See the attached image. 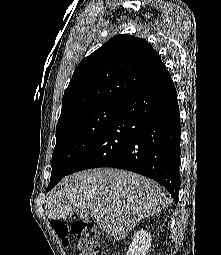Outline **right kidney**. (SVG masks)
I'll list each match as a JSON object with an SVG mask.
<instances>
[{
  "mask_svg": "<svg viewBox=\"0 0 221 255\" xmlns=\"http://www.w3.org/2000/svg\"><path fill=\"white\" fill-rule=\"evenodd\" d=\"M151 246V234L146 230L137 231L132 237V242L126 255H146Z\"/></svg>",
  "mask_w": 221,
  "mask_h": 255,
  "instance_id": "obj_1",
  "label": "right kidney"
}]
</instances>
